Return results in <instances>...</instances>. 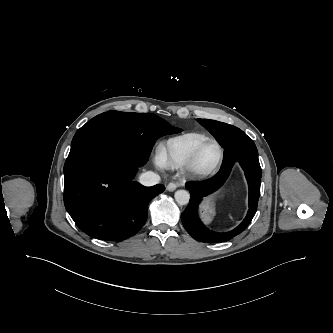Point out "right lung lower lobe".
Wrapping results in <instances>:
<instances>
[{
    "mask_svg": "<svg viewBox=\"0 0 333 333\" xmlns=\"http://www.w3.org/2000/svg\"><path fill=\"white\" fill-rule=\"evenodd\" d=\"M148 158L97 135L71 144L64 165V204L84 233L119 241L142 228L149 202L165 190L161 184L145 187L132 181Z\"/></svg>",
    "mask_w": 333,
    "mask_h": 333,
    "instance_id": "1",
    "label": "right lung lower lobe"
}]
</instances>
